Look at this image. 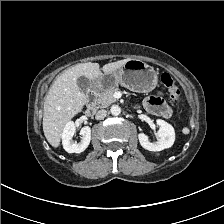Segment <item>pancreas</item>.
I'll return each mask as SVG.
<instances>
[{
  "instance_id": "obj_1",
  "label": "pancreas",
  "mask_w": 224,
  "mask_h": 224,
  "mask_svg": "<svg viewBox=\"0 0 224 224\" xmlns=\"http://www.w3.org/2000/svg\"><path fill=\"white\" fill-rule=\"evenodd\" d=\"M119 90L118 85L105 89L104 91L98 93L96 95L95 103L98 105L100 108H106L112 103L116 102L117 99L114 98L113 94Z\"/></svg>"
}]
</instances>
